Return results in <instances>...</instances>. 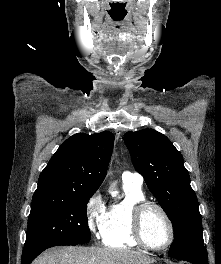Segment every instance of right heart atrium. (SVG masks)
<instances>
[{
	"label": "right heart atrium",
	"mask_w": 221,
	"mask_h": 264,
	"mask_svg": "<svg viewBox=\"0 0 221 264\" xmlns=\"http://www.w3.org/2000/svg\"><path fill=\"white\" fill-rule=\"evenodd\" d=\"M106 217V208L101 194L96 191L90 195L85 204V220L89 231L95 237H101Z\"/></svg>",
	"instance_id": "d8ad5b80"
}]
</instances>
